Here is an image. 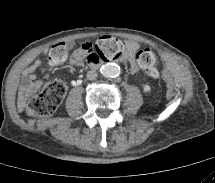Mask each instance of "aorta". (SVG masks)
Instances as JSON below:
<instances>
[{"instance_id":"762f6f07","label":"aorta","mask_w":215,"mask_h":183,"mask_svg":"<svg viewBox=\"0 0 215 183\" xmlns=\"http://www.w3.org/2000/svg\"><path fill=\"white\" fill-rule=\"evenodd\" d=\"M100 72L104 77H115L118 76L120 73V68L117 64L114 63H108L100 68Z\"/></svg>"}]
</instances>
